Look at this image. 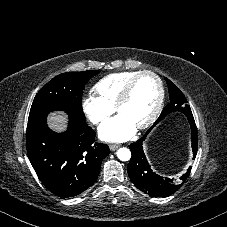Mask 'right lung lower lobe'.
I'll use <instances>...</instances> for the list:
<instances>
[{
  "instance_id": "obj_1",
  "label": "right lung lower lobe",
  "mask_w": 227,
  "mask_h": 227,
  "mask_svg": "<svg viewBox=\"0 0 227 227\" xmlns=\"http://www.w3.org/2000/svg\"><path fill=\"white\" fill-rule=\"evenodd\" d=\"M26 146L40 181L59 197L76 196L92 186L110 153L106 144L95 143V132L84 120L73 117L63 133L53 132L46 117L28 125Z\"/></svg>"
}]
</instances>
